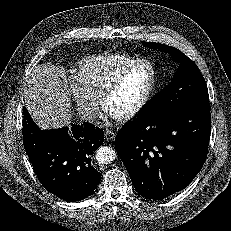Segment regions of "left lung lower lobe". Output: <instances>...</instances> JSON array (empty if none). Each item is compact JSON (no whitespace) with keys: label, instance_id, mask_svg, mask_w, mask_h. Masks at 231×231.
Instances as JSON below:
<instances>
[{"label":"left lung lower lobe","instance_id":"0a47b994","mask_svg":"<svg viewBox=\"0 0 231 231\" xmlns=\"http://www.w3.org/2000/svg\"><path fill=\"white\" fill-rule=\"evenodd\" d=\"M209 106L198 103L155 119L135 118L119 131L116 150L140 195L160 200L195 178L207 156Z\"/></svg>","mask_w":231,"mask_h":231}]
</instances>
